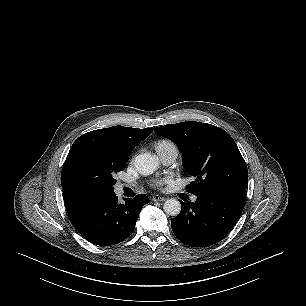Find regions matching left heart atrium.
<instances>
[{
  "instance_id": "39dd6f15",
  "label": "left heart atrium",
  "mask_w": 306,
  "mask_h": 306,
  "mask_svg": "<svg viewBox=\"0 0 306 306\" xmlns=\"http://www.w3.org/2000/svg\"><path fill=\"white\" fill-rule=\"evenodd\" d=\"M171 180H172L171 176H166L164 178L154 180L153 185L156 186V187H162V186L170 183Z\"/></svg>"
}]
</instances>
